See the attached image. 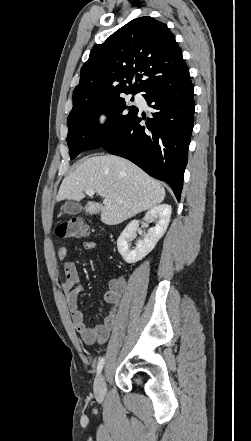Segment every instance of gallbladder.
<instances>
[{
  "label": "gallbladder",
  "instance_id": "bac80fb5",
  "mask_svg": "<svg viewBox=\"0 0 251 441\" xmlns=\"http://www.w3.org/2000/svg\"><path fill=\"white\" fill-rule=\"evenodd\" d=\"M63 211L66 214L76 215L81 211V206L74 202H67L63 205Z\"/></svg>",
  "mask_w": 251,
  "mask_h": 441
}]
</instances>
